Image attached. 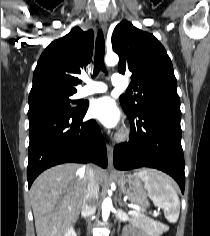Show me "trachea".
Returning <instances> with one entry per match:
<instances>
[{
  "label": "trachea",
  "mask_w": 210,
  "mask_h": 236,
  "mask_svg": "<svg viewBox=\"0 0 210 236\" xmlns=\"http://www.w3.org/2000/svg\"><path fill=\"white\" fill-rule=\"evenodd\" d=\"M105 41L101 30L98 31L95 45L94 73L92 77L98 75L100 71L106 72L104 65Z\"/></svg>",
  "instance_id": "3493384b"
}]
</instances>
